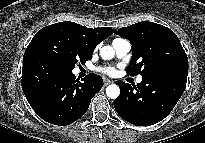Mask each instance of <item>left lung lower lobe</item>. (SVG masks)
I'll use <instances>...</instances> for the list:
<instances>
[{"mask_svg":"<svg viewBox=\"0 0 205 143\" xmlns=\"http://www.w3.org/2000/svg\"><path fill=\"white\" fill-rule=\"evenodd\" d=\"M188 67L175 65L142 76L137 86L117 81L120 95L114 107L121 118L137 126L153 125L163 120L182 96Z\"/></svg>","mask_w":205,"mask_h":143,"instance_id":"left-lung-lower-lobe-1","label":"left lung lower lobe"}]
</instances>
